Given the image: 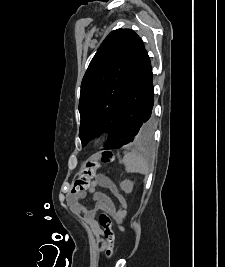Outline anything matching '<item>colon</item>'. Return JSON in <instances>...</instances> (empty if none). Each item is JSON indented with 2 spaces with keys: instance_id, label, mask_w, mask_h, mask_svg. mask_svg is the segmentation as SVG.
I'll return each instance as SVG.
<instances>
[{
  "instance_id": "5ec220e1",
  "label": "colon",
  "mask_w": 225,
  "mask_h": 267,
  "mask_svg": "<svg viewBox=\"0 0 225 267\" xmlns=\"http://www.w3.org/2000/svg\"><path fill=\"white\" fill-rule=\"evenodd\" d=\"M113 161L114 154L110 151L100 152L94 157L88 159L82 166L79 176L73 185V192L82 193L86 191L89 188L90 181L94 177L100 164H109ZM121 206H125L126 208V204L124 202ZM99 223L104 230V236L106 239L105 256L107 261H109L114 253L115 235L111 229V218L107 211L103 210L99 214Z\"/></svg>"
}]
</instances>
